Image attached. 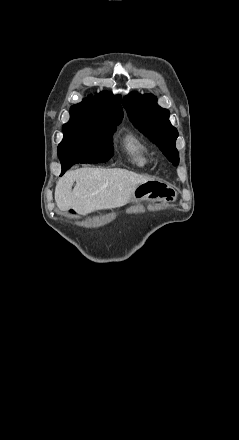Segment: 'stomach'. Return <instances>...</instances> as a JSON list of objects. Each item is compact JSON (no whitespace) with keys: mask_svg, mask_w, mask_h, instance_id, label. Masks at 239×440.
I'll list each match as a JSON object with an SVG mask.
<instances>
[{"mask_svg":"<svg viewBox=\"0 0 239 440\" xmlns=\"http://www.w3.org/2000/svg\"><path fill=\"white\" fill-rule=\"evenodd\" d=\"M152 184L155 182H146V184H141L139 188H137L136 192H134V196L132 198V202H138V200H148V198H154V194H160L162 188H152ZM155 198H161V196H155Z\"/></svg>","mask_w":239,"mask_h":440,"instance_id":"stomach-1","label":"stomach"}]
</instances>
